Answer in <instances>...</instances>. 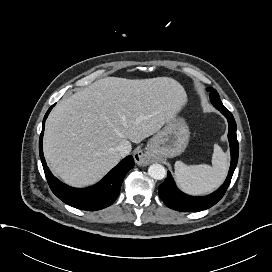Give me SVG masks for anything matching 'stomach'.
Returning a JSON list of instances; mask_svg holds the SVG:
<instances>
[{"label":"stomach","instance_id":"0dacf381","mask_svg":"<svg viewBox=\"0 0 272 272\" xmlns=\"http://www.w3.org/2000/svg\"><path fill=\"white\" fill-rule=\"evenodd\" d=\"M190 138L189 127L182 117L175 116L148 142L146 154L156 158H172L186 149Z\"/></svg>","mask_w":272,"mask_h":272}]
</instances>
